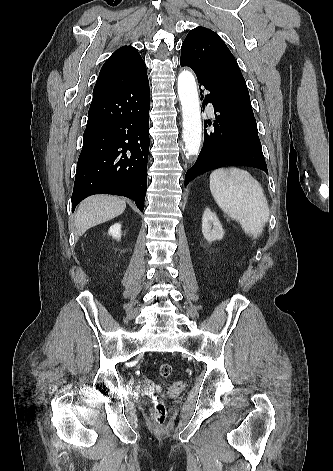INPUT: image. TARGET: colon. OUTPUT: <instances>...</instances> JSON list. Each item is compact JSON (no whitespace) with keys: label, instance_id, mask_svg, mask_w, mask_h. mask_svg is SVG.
<instances>
[{"label":"colon","instance_id":"obj_1","mask_svg":"<svg viewBox=\"0 0 333 471\" xmlns=\"http://www.w3.org/2000/svg\"><path fill=\"white\" fill-rule=\"evenodd\" d=\"M159 375L162 378H168L172 374V366L168 363H162L158 369ZM167 418V408L160 398H154L153 403V422L155 428L161 431L165 425Z\"/></svg>","mask_w":333,"mask_h":471}]
</instances>
